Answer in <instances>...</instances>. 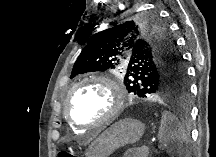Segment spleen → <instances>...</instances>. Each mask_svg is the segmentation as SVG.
Listing matches in <instances>:
<instances>
[{
	"label": "spleen",
	"mask_w": 216,
	"mask_h": 157,
	"mask_svg": "<svg viewBox=\"0 0 216 157\" xmlns=\"http://www.w3.org/2000/svg\"><path fill=\"white\" fill-rule=\"evenodd\" d=\"M158 140L170 154L188 155L189 135L182 123L169 111L162 113Z\"/></svg>",
	"instance_id": "obj_1"
}]
</instances>
